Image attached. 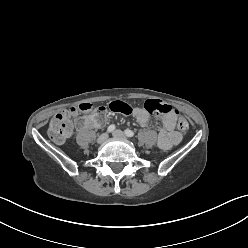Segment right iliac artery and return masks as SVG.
I'll use <instances>...</instances> for the list:
<instances>
[{
	"label": "right iliac artery",
	"instance_id": "1",
	"mask_svg": "<svg viewBox=\"0 0 248 248\" xmlns=\"http://www.w3.org/2000/svg\"><path fill=\"white\" fill-rule=\"evenodd\" d=\"M115 130V125L111 124L108 128H107V132H112Z\"/></svg>",
	"mask_w": 248,
	"mask_h": 248
}]
</instances>
